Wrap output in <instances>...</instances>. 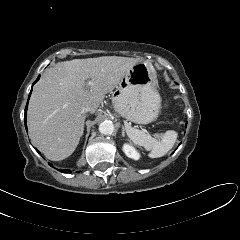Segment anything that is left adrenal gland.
<instances>
[{"mask_svg": "<svg viewBox=\"0 0 240 240\" xmlns=\"http://www.w3.org/2000/svg\"><path fill=\"white\" fill-rule=\"evenodd\" d=\"M122 136L123 137L125 136V128H124V126H122Z\"/></svg>", "mask_w": 240, "mask_h": 240, "instance_id": "a2214340", "label": "left adrenal gland"}]
</instances>
